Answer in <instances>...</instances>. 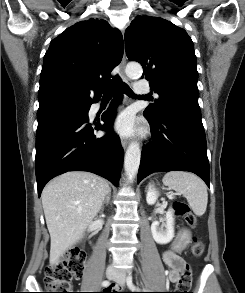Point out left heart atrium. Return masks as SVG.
<instances>
[{"instance_id":"39dd6f15","label":"left heart atrium","mask_w":245,"mask_h":293,"mask_svg":"<svg viewBox=\"0 0 245 293\" xmlns=\"http://www.w3.org/2000/svg\"><path fill=\"white\" fill-rule=\"evenodd\" d=\"M134 126L135 124L132 114L125 112L117 118L114 129L118 134L128 136L134 132Z\"/></svg>"}]
</instances>
